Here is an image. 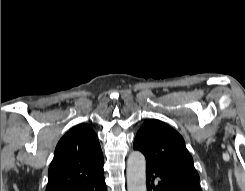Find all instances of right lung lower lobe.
I'll return each instance as SVG.
<instances>
[{"label":"right lung lower lobe","instance_id":"right-lung-lower-lobe-1","mask_svg":"<svg viewBox=\"0 0 245 191\" xmlns=\"http://www.w3.org/2000/svg\"><path fill=\"white\" fill-rule=\"evenodd\" d=\"M68 191H107L104 174L96 176L83 184L72 187Z\"/></svg>","mask_w":245,"mask_h":191}]
</instances>
